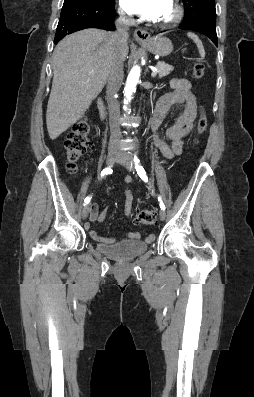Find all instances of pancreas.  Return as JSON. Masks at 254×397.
Wrapping results in <instances>:
<instances>
[{"mask_svg": "<svg viewBox=\"0 0 254 397\" xmlns=\"http://www.w3.org/2000/svg\"><path fill=\"white\" fill-rule=\"evenodd\" d=\"M156 67H157V70H158V77L159 78H163V77L167 76L174 69L173 66L168 65V64H166L164 62H158Z\"/></svg>", "mask_w": 254, "mask_h": 397, "instance_id": "obj_1", "label": "pancreas"}]
</instances>
